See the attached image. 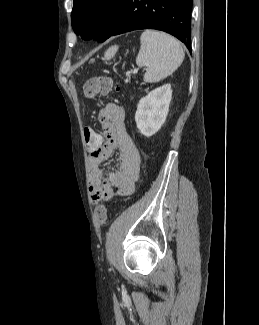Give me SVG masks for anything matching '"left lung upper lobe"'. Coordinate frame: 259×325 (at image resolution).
Masks as SVG:
<instances>
[{"mask_svg": "<svg viewBox=\"0 0 259 325\" xmlns=\"http://www.w3.org/2000/svg\"><path fill=\"white\" fill-rule=\"evenodd\" d=\"M124 0H73L72 28L82 39H107Z\"/></svg>", "mask_w": 259, "mask_h": 325, "instance_id": "obj_1", "label": "left lung upper lobe"}]
</instances>
